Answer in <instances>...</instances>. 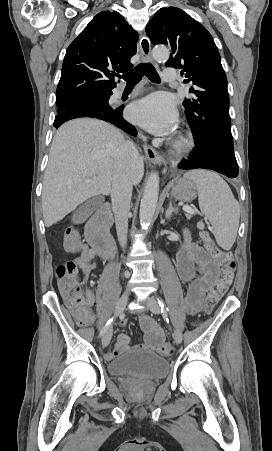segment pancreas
Masks as SVG:
<instances>
[{
	"label": "pancreas",
	"mask_w": 272,
	"mask_h": 451,
	"mask_svg": "<svg viewBox=\"0 0 272 451\" xmlns=\"http://www.w3.org/2000/svg\"><path fill=\"white\" fill-rule=\"evenodd\" d=\"M185 216H186L187 220H191V218H192L191 214H185Z\"/></svg>",
	"instance_id": "1"
}]
</instances>
